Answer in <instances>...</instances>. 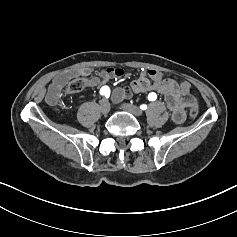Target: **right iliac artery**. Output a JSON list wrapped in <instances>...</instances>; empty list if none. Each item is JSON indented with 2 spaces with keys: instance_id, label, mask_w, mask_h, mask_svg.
<instances>
[{
  "instance_id": "right-iliac-artery-1",
  "label": "right iliac artery",
  "mask_w": 237,
  "mask_h": 237,
  "mask_svg": "<svg viewBox=\"0 0 237 237\" xmlns=\"http://www.w3.org/2000/svg\"><path fill=\"white\" fill-rule=\"evenodd\" d=\"M100 94L101 95H104L105 97H109L110 95V89L108 86H103L101 89H100Z\"/></svg>"
}]
</instances>
